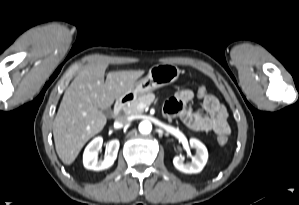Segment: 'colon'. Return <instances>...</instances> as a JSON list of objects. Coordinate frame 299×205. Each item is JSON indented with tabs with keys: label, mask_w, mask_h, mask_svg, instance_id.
Returning a JSON list of instances; mask_svg holds the SVG:
<instances>
[{
	"label": "colon",
	"mask_w": 299,
	"mask_h": 205,
	"mask_svg": "<svg viewBox=\"0 0 299 205\" xmlns=\"http://www.w3.org/2000/svg\"><path fill=\"white\" fill-rule=\"evenodd\" d=\"M207 94H208V92H207V89L205 86H203V85L198 86L197 95L199 98H203ZM228 140H229V137H228V134H226V133H222L217 136V142L219 145L227 144Z\"/></svg>",
	"instance_id": "1"
}]
</instances>
